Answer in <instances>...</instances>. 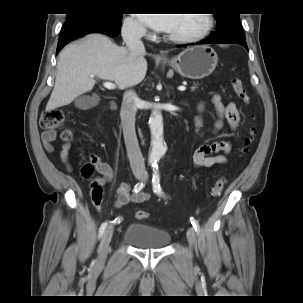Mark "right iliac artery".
Listing matches in <instances>:
<instances>
[{"mask_svg":"<svg viewBox=\"0 0 303 303\" xmlns=\"http://www.w3.org/2000/svg\"><path fill=\"white\" fill-rule=\"evenodd\" d=\"M143 187H144L143 182H139V183H137V184L134 186V189H133V190H134V192H138V191H140ZM113 222L120 223V222H121V217H117ZM107 225H108V222H104V223L101 224L100 229H99V238H101L102 235L104 234V231H105Z\"/></svg>","mask_w":303,"mask_h":303,"instance_id":"82829eb1","label":"right iliac artery"}]
</instances>
